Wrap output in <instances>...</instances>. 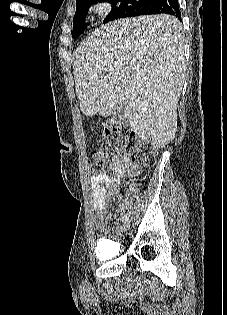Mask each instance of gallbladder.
Segmentation results:
<instances>
[{"mask_svg":"<svg viewBox=\"0 0 227 315\" xmlns=\"http://www.w3.org/2000/svg\"><path fill=\"white\" fill-rule=\"evenodd\" d=\"M120 117H121L122 119H125V118H126V111H125V108H124V107L120 110Z\"/></svg>","mask_w":227,"mask_h":315,"instance_id":"bac80fb5","label":"gallbladder"}]
</instances>
